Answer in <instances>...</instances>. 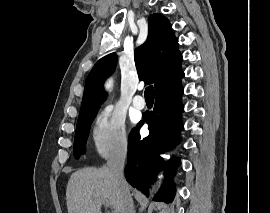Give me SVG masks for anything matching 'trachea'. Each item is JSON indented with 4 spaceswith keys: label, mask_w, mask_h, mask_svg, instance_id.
<instances>
[{
    "label": "trachea",
    "mask_w": 270,
    "mask_h": 213,
    "mask_svg": "<svg viewBox=\"0 0 270 213\" xmlns=\"http://www.w3.org/2000/svg\"><path fill=\"white\" fill-rule=\"evenodd\" d=\"M144 96H145V99L154 100L155 92H154V87L152 85L148 86L145 89Z\"/></svg>",
    "instance_id": "obj_1"
}]
</instances>
